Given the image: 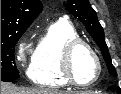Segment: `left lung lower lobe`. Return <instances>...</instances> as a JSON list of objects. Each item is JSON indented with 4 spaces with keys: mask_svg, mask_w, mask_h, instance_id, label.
<instances>
[{
    "mask_svg": "<svg viewBox=\"0 0 121 94\" xmlns=\"http://www.w3.org/2000/svg\"><path fill=\"white\" fill-rule=\"evenodd\" d=\"M108 90H115V91H117L119 94H121L120 88H119V87H116V86H111V87L108 88Z\"/></svg>",
    "mask_w": 121,
    "mask_h": 94,
    "instance_id": "left-lung-lower-lobe-1",
    "label": "left lung lower lobe"
}]
</instances>
